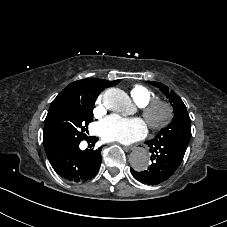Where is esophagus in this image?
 Listing matches in <instances>:
<instances>
[{
  "label": "esophagus",
  "mask_w": 227,
  "mask_h": 227,
  "mask_svg": "<svg viewBox=\"0 0 227 227\" xmlns=\"http://www.w3.org/2000/svg\"><path fill=\"white\" fill-rule=\"evenodd\" d=\"M140 151L149 152L150 146L145 144H137L136 146L133 147L134 153H139Z\"/></svg>",
  "instance_id": "34e87169"
}]
</instances>
